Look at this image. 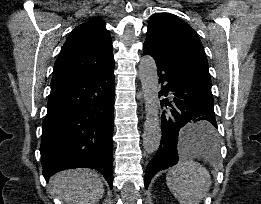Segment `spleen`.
<instances>
[{
    "label": "spleen",
    "instance_id": "obj_1",
    "mask_svg": "<svg viewBox=\"0 0 261 204\" xmlns=\"http://www.w3.org/2000/svg\"><path fill=\"white\" fill-rule=\"evenodd\" d=\"M194 126L196 124H188L183 131L188 133ZM195 150L205 154H215L218 151V140L215 137L211 145L202 141ZM166 183L180 204H199L210 189L211 176L209 171L199 163L181 160L168 171Z\"/></svg>",
    "mask_w": 261,
    "mask_h": 204
}]
</instances>
